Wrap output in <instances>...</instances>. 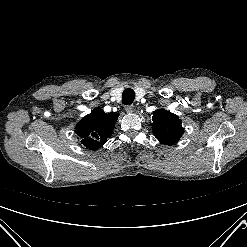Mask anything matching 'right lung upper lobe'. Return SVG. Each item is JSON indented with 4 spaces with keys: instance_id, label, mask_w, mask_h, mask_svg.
Here are the masks:
<instances>
[{
    "instance_id": "cb5924a9",
    "label": "right lung upper lobe",
    "mask_w": 247,
    "mask_h": 247,
    "mask_svg": "<svg viewBox=\"0 0 247 247\" xmlns=\"http://www.w3.org/2000/svg\"><path fill=\"white\" fill-rule=\"evenodd\" d=\"M119 114L105 113L95 108L76 125V134L82 139L81 143L91 150L102 147L114 130Z\"/></svg>"
}]
</instances>
